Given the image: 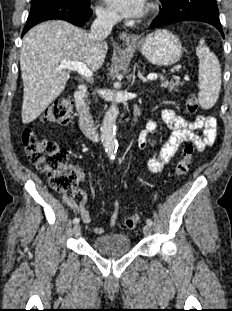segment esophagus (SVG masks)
<instances>
[{
  "mask_svg": "<svg viewBox=\"0 0 232 311\" xmlns=\"http://www.w3.org/2000/svg\"><path fill=\"white\" fill-rule=\"evenodd\" d=\"M119 37L123 41H136L137 40V38L135 36H132L126 32L120 33Z\"/></svg>",
  "mask_w": 232,
  "mask_h": 311,
  "instance_id": "1",
  "label": "esophagus"
}]
</instances>
